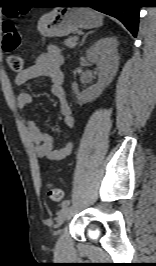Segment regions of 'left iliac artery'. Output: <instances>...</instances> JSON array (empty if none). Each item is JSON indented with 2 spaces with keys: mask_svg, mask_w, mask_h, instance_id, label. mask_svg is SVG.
<instances>
[{
  "mask_svg": "<svg viewBox=\"0 0 156 266\" xmlns=\"http://www.w3.org/2000/svg\"><path fill=\"white\" fill-rule=\"evenodd\" d=\"M70 204V200H64L62 203H61V207H66V206H69Z\"/></svg>",
  "mask_w": 156,
  "mask_h": 266,
  "instance_id": "1",
  "label": "left iliac artery"
}]
</instances>
